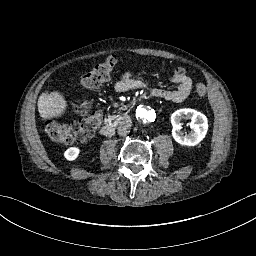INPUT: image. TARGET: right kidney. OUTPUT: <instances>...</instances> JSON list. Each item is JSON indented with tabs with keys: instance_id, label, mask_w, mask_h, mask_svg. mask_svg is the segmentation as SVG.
<instances>
[{
	"instance_id": "1",
	"label": "right kidney",
	"mask_w": 256,
	"mask_h": 256,
	"mask_svg": "<svg viewBox=\"0 0 256 256\" xmlns=\"http://www.w3.org/2000/svg\"><path fill=\"white\" fill-rule=\"evenodd\" d=\"M80 151L81 149L79 147H70L66 149L63 156L68 161H75L79 157Z\"/></svg>"
}]
</instances>
